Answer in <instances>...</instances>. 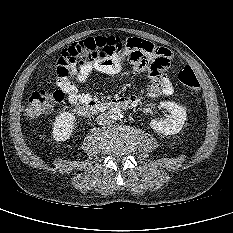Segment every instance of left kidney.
Here are the masks:
<instances>
[{"label":"left kidney","instance_id":"1","mask_svg":"<svg viewBox=\"0 0 233 233\" xmlns=\"http://www.w3.org/2000/svg\"><path fill=\"white\" fill-rule=\"evenodd\" d=\"M159 107L166 109L169 114L165 118L151 120V128L163 135L179 133L187 117L185 109L177 103L170 101L160 102Z\"/></svg>","mask_w":233,"mask_h":233}]
</instances>
